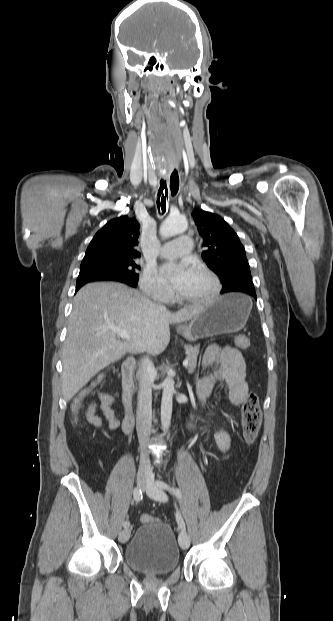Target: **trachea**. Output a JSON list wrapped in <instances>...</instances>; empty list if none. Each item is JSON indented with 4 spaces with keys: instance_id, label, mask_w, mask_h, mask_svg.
Instances as JSON below:
<instances>
[{
    "instance_id": "obj_1",
    "label": "trachea",
    "mask_w": 333,
    "mask_h": 621,
    "mask_svg": "<svg viewBox=\"0 0 333 621\" xmlns=\"http://www.w3.org/2000/svg\"><path fill=\"white\" fill-rule=\"evenodd\" d=\"M164 190H165V195H164ZM166 196L168 198V191H167V187H166V182L164 180H161L160 181V188L158 190L157 206H158L159 210H160V207H161L162 213H165V211H166Z\"/></svg>"
}]
</instances>
